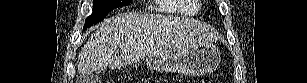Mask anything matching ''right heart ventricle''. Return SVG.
Masks as SVG:
<instances>
[{"mask_svg":"<svg viewBox=\"0 0 307 83\" xmlns=\"http://www.w3.org/2000/svg\"><path fill=\"white\" fill-rule=\"evenodd\" d=\"M159 10L167 13L193 14L195 5L190 0H161Z\"/></svg>","mask_w":307,"mask_h":83,"instance_id":"1","label":"right heart ventricle"}]
</instances>
